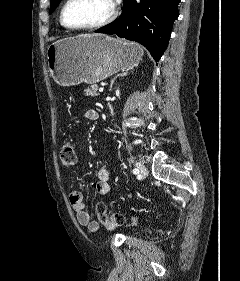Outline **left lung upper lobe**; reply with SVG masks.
I'll return each instance as SVG.
<instances>
[{"mask_svg":"<svg viewBox=\"0 0 240 281\" xmlns=\"http://www.w3.org/2000/svg\"><path fill=\"white\" fill-rule=\"evenodd\" d=\"M61 0H50V14L54 11V9L58 6Z\"/></svg>","mask_w":240,"mask_h":281,"instance_id":"1","label":"left lung upper lobe"}]
</instances>
